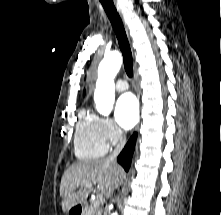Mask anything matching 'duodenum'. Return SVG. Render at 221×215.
Returning a JSON list of instances; mask_svg holds the SVG:
<instances>
[{
  "label": "duodenum",
  "instance_id": "1",
  "mask_svg": "<svg viewBox=\"0 0 221 215\" xmlns=\"http://www.w3.org/2000/svg\"><path fill=\"white\" fill-rule=\"evenodd\" d=\"M81 210H82L81 206L75 207L74 208V214L75 215H81Z\"/></svg>",
  "mask_w": 221,
  "mask_h": 215
}]
</instances>
